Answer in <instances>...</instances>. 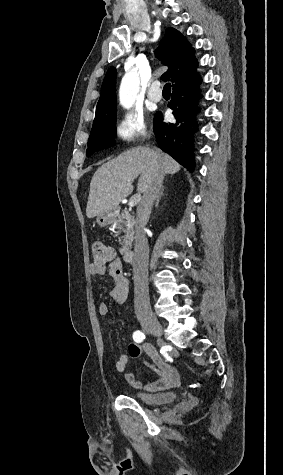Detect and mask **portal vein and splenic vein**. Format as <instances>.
I'll use <instances>...</instances> for the list:
<instances>
[{
	"instance_id": "portal-vein-and-splenic-vein-1",
	"label": "portal vein and splenic vein",
	"mask_w": 283,
	"mask_h": 475,
	"mask_svg": "<svg viewBox=\"0 0 283 475\" xmlns=\"http://www.w3.org/2000/svg\"><path fill=\"white\" fill-rule=\"evenodd\" d=\"M141 198V194H135V196H132L130 202H129V206H135V204H137V202H139Z\"/></svg>"
}]
</instances>
